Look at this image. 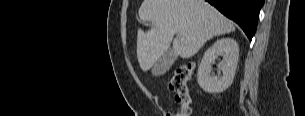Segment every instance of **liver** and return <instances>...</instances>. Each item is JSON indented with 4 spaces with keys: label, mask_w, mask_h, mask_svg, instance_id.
Here are the masks:
<instances>
[{
    "label": "liver",
    "mask_w": 305,
    "mask_h": 116,
    "mask_svg": "<svg viewBox=\"0 0 305 116\" xmlns=\"http://www.w3.org/2000/svg\"><path fill=\"white\" fill-rule=\"evenodd\" d=\"M142 21L152 24L147 32L138 29L137 58L143 71L149 70L168 51L173 41L177 56L189 58L211 38L235 31L233 23L204 0H144Z\"/></svg>",
    "instance_id": "liver-1"
}]
</instances>
